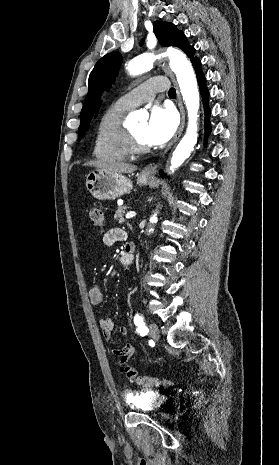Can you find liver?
<instances>
[{"instance_id": "6515ba94", "label": "liver", "mask_w": 279, "mask_h": 465, "mask_svg": "<svg viewBox=\"0 0 279 465\" xmlns=\"http://www.w3.org/2000/svg\"><path fill=\"white\" fill-rule=\"evenodd\" d=\"M84 165L94 166L97 167L100 171L112 173H132L137 170V166L119 161H90Z\"/></svg>"}]
</instances>
